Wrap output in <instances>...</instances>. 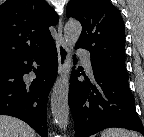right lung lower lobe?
<instances>
[{"mask_svg":"<svg viewBox=\"0 0 144 137\" xmlns=\"http://www.w3.org/2000/svg\"><path fill=\"white\" fill-rule=\"evenodd\" d=\"M57 69V50L53 39L0 69V115L17 117L40 136L47 137V100ZM30 71L36 75L33 81L24 76Z\"/></svg>","mask_w":144,"mask_h":137,"instance_id":"right-lung-lower-lobe-1","label":"right lung lower lobe"}]
</instances>
